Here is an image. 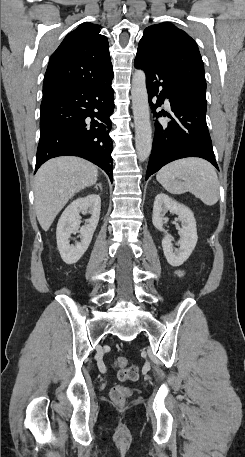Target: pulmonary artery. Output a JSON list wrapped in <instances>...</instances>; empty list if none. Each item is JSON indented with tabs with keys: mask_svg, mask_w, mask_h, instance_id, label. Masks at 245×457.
Wrapping results in <instances>:
<instances>
[{
	"mask_svg": "<svg viewBox=\"0 0 245 457\" xmlns=\"http://www.w3.org/2000/svg\"><path fill=\"white\" fill-rule=\"evenodd\" d=\"M163 98L165 99L166 97L164 96ZM163 108H169V103H163Z\"/></svg>",
	"mask_w": 245,
	"mask_h": 457,
	"instance_id": "1",
	"label": "pulmonary artery"
}]
</instances>
